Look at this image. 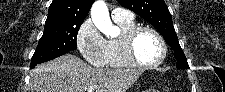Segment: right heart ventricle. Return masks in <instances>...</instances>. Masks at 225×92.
Returning a JSON list of instances; mask_svg holds the SVG:
<instances>
[{
    "instance_id": "e07e8e85",
    "label": "right heart ventricle",
    "mask_w": 225,
    "mask_h": 92,
    "mask_svg": "<svg viewBox=\"0 0 225 92\" xmlns=\"http://www.w3.org/2000/svg\"><path fill=\"white\" fill-rule=\"evenodd\" d=\"M117 25L119 26L121 30V35L117 39H109L106 41L107 44V58H108V64L112 68H126L129 67L127 65L120 52L119 48V40L121 36L129 29L135 26L134 19L133 20H122V21H115Z\"/></svg>"
}]
</instances>
